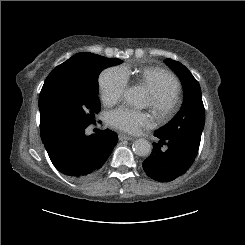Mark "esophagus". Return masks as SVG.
<instances>
[{
  "label": "esophagus",
  "mask_w": 245,
  "mask_h": 245,
  "mask_svg": "<svg viewBox=\"0 0 245 245\" xmlns=\"http://www.w3.org/2000/svg\"><path fill=\"white\" fill-rule=\"evenodd\" d=\"M119 140L124 141V140H133L134 137L125 135V134H119L118 135Z\"/></svg>",
  "instance_id": "esophagus-1"
}]
</instances>
